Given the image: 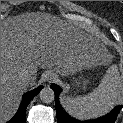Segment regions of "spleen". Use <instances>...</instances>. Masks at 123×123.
<instances>
[{"mask_svg": "<svg viewBox=\"0 0 123 123\" xmlns=\"http://www.w3.org/2000/svg\"><path fill=\"white\" fill-rule=\"evenodd\" d=\"M122 88L123 80L114 64L108 68L97 88L84 96L65 98V106L78 119L97 118L113 109Z\"/></svg>", "mask_w": 123, "mask_h": 123, "instance_id": "spleen-1", "label": "spleen"}]
</instances>
